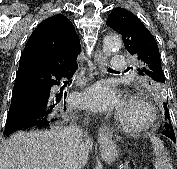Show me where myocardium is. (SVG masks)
I'll return each instance as SVG.
<instances>
[{
	"mask_svg": "<svg viewBox=\"0 0 177 169\" xmlns=\"http://www.w3.org/2000/svg\"><path fill=\"white\" fill-rule=\"evenodd\" d=\"M126 106L137 108L142 117L138 121L125 120L121 112L116 116L118 126L128 133H142L149 130L155 123L156 113L154 108L138 94L128 96Z\"/></svg>",
	"mask_w": 177,
	"mask_h": 169,
	"instance_id": "myocardium-1",
	"label": "myocardium"
}]
</instances>
